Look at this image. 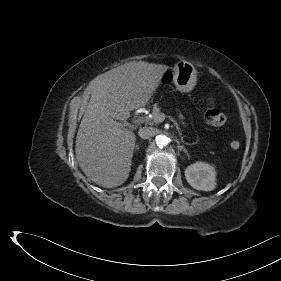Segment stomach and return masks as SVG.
Returning <instances> with one entry per match:
<instances>
[{
	"label": "stomach",
	"instance_id": "stomach-1",
	"mask_svg": "<svg viewBox=\"0 0 281 281\" xmlns=\"http://www.w3.org/2000/svg\"><path fill=\"white\" fill-rule=\"evenodd\" d=\"M165 80H171L181 92H190L197 81L194 66L186 61L179 62L174 68H169L164 74Z\"/></svg>",
	"mask_w": 281,
	"mask_h": 281
}]
</instances>
